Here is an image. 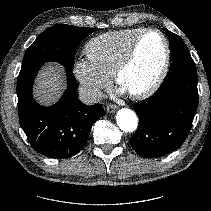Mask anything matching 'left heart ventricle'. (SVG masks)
Returning a JSON list of instances; mask_svg holds the SVG:
<instances>
[{"label":"left heart ventricle","mask_w":211,"mask_h":211,"mask_svg":"<svg viewBox=\"0 0 211 211\" xmlns=\"http://www.w3.org/2000/svg\"><path fill=\"white\" fill-rule=\"evenodd\" d=\"M164 59V45L157 33L145 35L136 58L122 74L119 86L127 93L138 92L148 87L158 75Z\"/></svg>","instance_id":"1"}]
</instances>
